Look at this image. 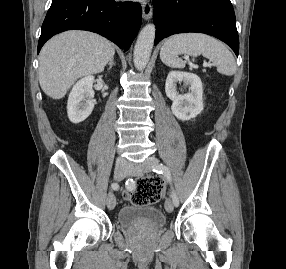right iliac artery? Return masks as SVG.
Wrapping results in <instances>:
<instances>
[{
	"label": "right iliac artery",
	"mask_w": 286,
	"mask_h": 269,
	"mask_svg": "<svg viewBox=\"0 0 286 269\" xmlns=\"http://www.w3.org/2000/svg\"><path fill=\"white\" fill-rule=\"evenodd\" d=\"M126 186H127V188L133 187L134 186L133 179H128L126 181ZM111 187H112V189L117 190L119 188V185L117 183H112Z\"/></svg>",
	"instance_id": "82829eb1"
}]
</instances>
